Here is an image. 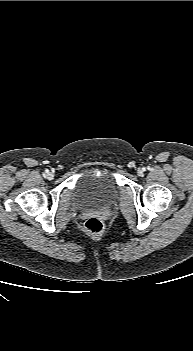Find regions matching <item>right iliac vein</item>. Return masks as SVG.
<instances>
[{
    "label": "right iliac vein",
    "instance_id": "obj_1",
    "mask_svg": "<svg viewBox=\"0 0 193 351\" xmlns=\"http://www.w3.org/2000/svg\"><path fill=\"white\" fill-rule=\"evenodd\" d=\"M46 178L49 179V180H52L54 178V173L48 172L47 175H46Z\"/></svg>",
    "mask_w": 193,
    "mask_h": 351
}]
</instances>
